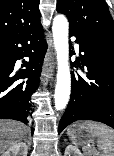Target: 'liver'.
<instances>
[{
    "label": "liver",
    "mask_w": 114,
    "mask_h": 156,
    "mask_svg": "<svg viewBox=\"0 0 114 156\" xmlns=\"http://www.w3.org/2000/svg\"><path fill=\"white\" fill-rule=\"evenodd\" d=\"M28 128L20 122L0 119V154L24 139Z\"/></svg>",
    "instance_id": "6515ba94"
}]
</instances>
